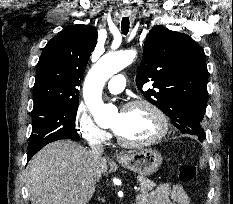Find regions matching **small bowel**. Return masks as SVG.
<instances>
[{
  "label": "small bowel",
  "mask_w": 233,
  "mask_h": 204,
  "mask_svg": "<svg viewBox=\"0 0 233 204\" xmlns=\"http://www.w3.org/2000/svg\"><path fill=\"white\" fill-rule=\"evenodd\" d=\"M190 198L180 184L163 183L155 190L142 193L136 204H190Z\"/></svg>",
  "instance_id": "small-bowel-1"
}]
</instances>
